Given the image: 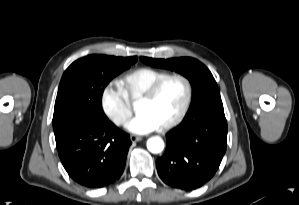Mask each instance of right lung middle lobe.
I'll return each instance as SVG.
<instances>
[{"instance_id": "dd1d6c3e", "label": "right lung middle lobe", "mask_w": 299, "mask_h": 205, "mask_svg": "<svg viewBox=\"0 0 299 205\" xmlns=\"http://www.w3.org/2000/svg\"><path fill=\"white\" fill-rule=\"evenodd\" d=\"M133 63L106 55H90L73 62L58 89L53 115L55 137L82 120H107L101 106L104 88Z\"/></svg>"}]
</instances>
